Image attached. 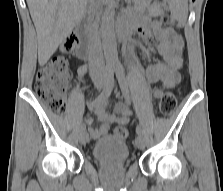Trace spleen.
<instances>
[{
    "mask_svg": "<svg viewBox=\"0 0 223 191\" xmlns=\"http://www.w3.org/2000/svg\"><path fill=\"white\" fill-rule=\"evenodd\" d=\"M172 16L181 23H184L188 15L187 0H168Z\"/></svg>",
    "mask_w": 223,
    "mask_h": 191,
    "instance_id": "obj_1",
    "label": "spleen"
}]
</instances>
